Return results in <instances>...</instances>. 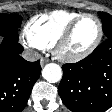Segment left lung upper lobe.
I'll return each mask as SVG.
<instances>
[{
  "instance_id": "5c2ea615",
  "label": "left lung upper lobe",
  "mask_w": 112,
  "mask_h": 112,
  "mask_svg": "<svg viewBox=\"0 0 112 112\" xmlns=\"http://www.w3.org/2000/svg\"><path fill=\"white\" fill-rule=\"evenodd\" d=\"M98 14L102 20L103 32L106 38L112 37V16L104 12H99Z\"/></svg>"
}]
</instances>
